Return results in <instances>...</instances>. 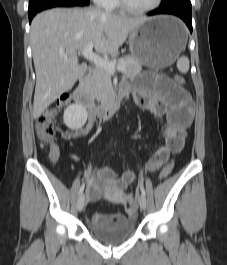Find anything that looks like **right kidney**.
<instances>
[{
	"mask_svg": "<svg viewBox=\"0 0 227 265\" xmlns=\"http://www.w3.org/2000/svg\"><path fill=\"white\" fill-rule=\"evenodd\" d=\"M63 120L69 129L78 130L82 128L87 121V110L81 104H72L65 109Z\"/></svg>",
	"mask_w": 227,
	"mask_h": 265,
	"instance_id": "1",
	"label": "right kidney"
}]
</instances>
